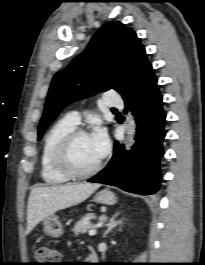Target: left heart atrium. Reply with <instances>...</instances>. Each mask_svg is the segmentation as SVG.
Here are the masks:
<instances>
[{"instance_id": "left-heart-atrium-1", "label": "left heart atrium", "mask_w": 205, "mask_h": 265, "mask_svg": "<svg viewBox=\"0 0 205 265\" xmlns=\"http://www.w3.org/2000/svg\"><path fill=\"white\" fill-rule=\"evenodd\" d=\"M90 137L98 157L103 158L109 150V139L105 129L97 127Z\"/></svg>"}]
</instances>
